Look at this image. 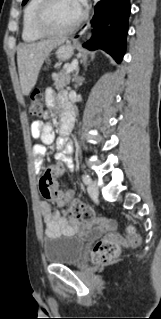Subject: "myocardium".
I'll return each instance as SVG.
<instances>
[{
	"label": "myocardium",
	"mask_w": 161,
	"mask_h": 319,
	"mask_svg": "<svg viewBox=\"0 0 161 319\" xmlns=\"http://www.w3.org/2000/svg\"><path fill=\"white\" fill-rule=\"evenodd\" d=\"M53 2L54 0L41 1L33 21V26L35 31L41 36H45V37L65 36L75 31L86 16L85 9L80 5V13L78 17L68 27L61 30H51L50 28L46 26L45 18Z\"/></svg>",
	"instance_id": "obj_1"
}]
</instances>
